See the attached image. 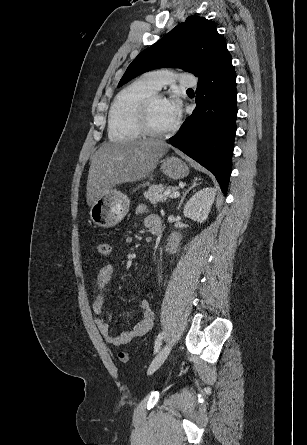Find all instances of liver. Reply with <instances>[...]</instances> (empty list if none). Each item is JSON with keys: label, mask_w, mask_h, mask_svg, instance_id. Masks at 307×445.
Listing matches in <instances>:
<instances>
[{"label": "liver", "mask_w": 307, "mask_h": 445, "mask_svg": "<svg viewBox=\"0 0 307 445\" xmlns=\"http://www.w3.org/2000/svg\"><path fill=\"white\" fill-rule=\"evenodd\" d=\"M171 144L164 140H129L104 142L93 154L88 170L86 202L92 206L97 198L110 194L120 182H133L149 176Z\"/></svg>", "instance_id": "6515ba94"}]
</instances>
